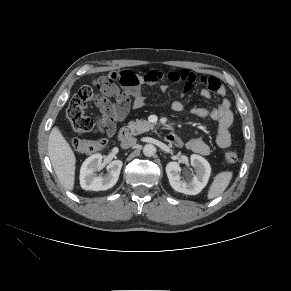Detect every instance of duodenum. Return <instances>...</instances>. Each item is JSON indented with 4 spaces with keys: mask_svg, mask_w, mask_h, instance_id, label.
I'll return each instance as SVG.
<instances>
[{
    "mask_svg": "<svg viewBox=\"0 0 291 291\" xmlns=\"http://www.w3.org/2000/svg\"><path fill=\"white\" fill-rule=\"evenodd\" d=\"M130 135H131V130L128 127H122L119 130L118 138H119V140L124 141V140L128 139L130 137ZM166 140H167V142L173 144L176 141V135L170 133L166 136Z\"/></svg>",
    "mask_w": 291,
    "mask_h": 291,
    "instance_id": "obj_1",
    "label": "duodenum"
}]
</instances>
